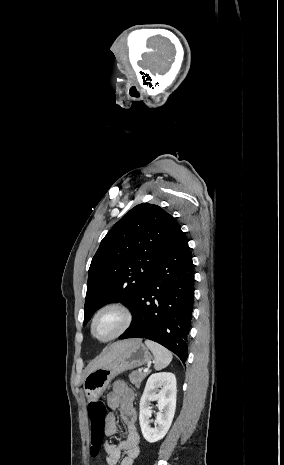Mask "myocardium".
Masks as SVG:
<instances>
[{
  "label": "myocardium",
  "instance_id": "f54148a6",
  "mask_svg": "<svg viewBox=\"0 0 284 465\" xmlns=\"http://www.w3.org/2000/svg\"><path fill=\"white\" fill-rule=\"evenodd\" d=\"M105 311H114V312L118 313L121 316L122 324H121L119 330L115 334H113L112 336H110L108 338H103V339L96 338L93 335V328H94V325H95V322H96L98 316L100 314H102L103 312H105ZM132 322H133V315H132V312L130 311V309L128 307H126L125 305L120 304V303L106 304V305L100 307L97 311H95V313L91 317L90 324H89V333H90L91 337L95 341H97L99 343H109V342H112V341L120 338L121 336H123L128 331V329L130 328Z\"/></svg>",
  "mask_w": 284,
  "mask_h": 465
}]
</instances>
